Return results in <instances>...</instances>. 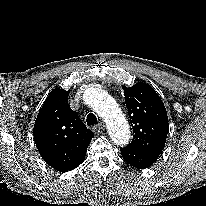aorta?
Segmentation results:
<instances>
[{
    "label": "aorta",
    "mask_w": 206,
    "mask_h": 206,
    "mask_svg": "<svg viewBox=\"0 0 206 206\" xmlns=\"http://www.w3.org/2000/svg\"><path fill=\"white\" fill-rule=\"evenodd\" d=\"M87 102L106 121L109 135L117 145L124 146L130 139V128L116 101L104 90L92 89Z\"/></svg>",
    "instance_id": "762f6f07"
}]
</instances>
